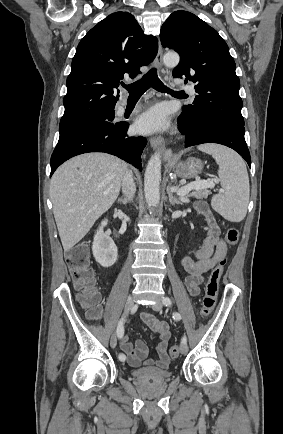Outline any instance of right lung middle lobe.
<instances>
[{
    "instance_id": "1",
    "label": "right lung middle lobe",
    "mask_w": 283,
    "mask_h": 434,
    "mask_svg": "<svg viewBox=\"0 0 283 434\" xmlns=\"http://www.w3.org/2000/svg\"><path fill=\"white\" fill-rule=\"evenodd\" d=\"M105 120L108 121L113 120L112 111L103 112L100 114H96L88 117H82V118L61 119L59 125V132L61 134L67 130H70L74 127L80 126L85 123L105 121Z\"/></svg>"
}]
</instances>
